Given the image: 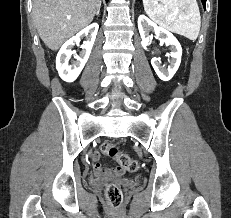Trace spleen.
Returning a JSON list of instances; mask_svg holds the SVG:
<instances>
[{
	"label": "spleen",
	"instance_id": "spleen-1",
	"mask_svg": "<svg viewBox=\"0 0 231 218\" xmlns=\"http://www.w3.org/2000/svg\"><path fill=\"white\" fill-rule=\"evenodd\" d=\"M143 5L146 14L160 26L190 40L197 39L201 17L196 0H143Z\"/></svg>",
	"mask_w": 231,
	"mask_h": 218
}]
</instances>
